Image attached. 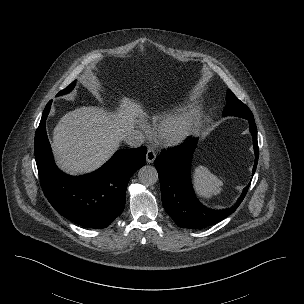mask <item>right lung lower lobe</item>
I'll return each instance as SVG.
<instances>
[{
    "instance_id": "98d812e1",
    "label": "right lung lower lobe",
    "mask_w": 304,
    "mask_h": 304,
    "mask_svg": "<svg viewBox=\"0 0 304 304\" xmlns=\"http://www.w3.org/2000/svg\"><path fill=\"white\" fill-rule=\"evenodd\" d=\"M52 100L46 105L35 135V159L43 192L67 219L88 228H105L123 211L131 176L146 160V147L117 151L98 170L69 176L53 161L45 121Z\"/></svg>"
}]
</instances>
